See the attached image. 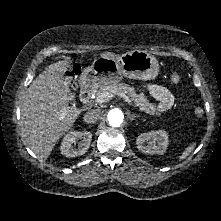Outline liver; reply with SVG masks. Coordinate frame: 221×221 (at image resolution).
Masks as SVG:
<instances>
[{
  "instance_id": "6515ba94",
  "label": "liver",
  "mask_w": 221,
  "mask_h": 221,
  "mask_svg": "<svg viewBox=\"0 0 221 221\" xmlns=\"http://www.w3.org/2000/svg\"><path fill=\"white\" fill-rule=\"evenodd\" d=\"M100 56L116 58L105 52ZM67 60L49 65L28 87L21 107V130L28 147L46 160L56 142L68 132L81 110L69 106L74 98L64 77ZM64 117V118H61Z\"/></svg>"
}]
</instances>
